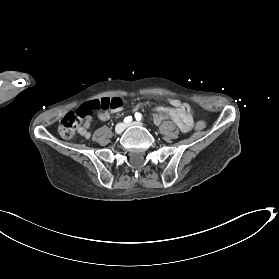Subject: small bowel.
I'll use <instances>...</instances> for the list:
<instances>
[{
  "instance_id": "obj_1",
  "label": "small bowel",
  "mask_w": 279,
  "mask_h": 279,
  "mask_svg": "<svg viewBox=\"0 0 279 279\" xmlns=\"http://www.w3.org/2000/svg\"><path fill=\"white\" fill-rule=\"evenodd\" d=\"M170 103L172 105L171 108H157L158 114L155 116V120L157 122H160L164 118V116H169L177 124V126L182 132H188L193 124L192 116L181 106L180 101L178 99H171ZM140 106V104L137 105L135 107V111H137L140 108ZM121 109L122 108L100 112L98 113V118L102 121H106L110 118L112 112H118L121 111ZM91 121L92 118L90 116L85 118L83 125L79 129V133L81 136L85 138L90 137L89 128L91 125Z\"/></svg>"
}]
</instances>
